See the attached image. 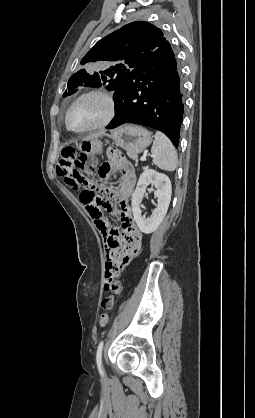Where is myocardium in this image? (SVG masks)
Wrapping results in <instances>:
<instances>
[{"label":"myocardium","instance_id":"myocardium-1","mask_svg":"<svg viewBox=\"0 0 255 418\" xmlns=\"http://www.w3.org/2000/svg\"><path fill=\"white\" fill-rule=\"evenodd\" d=\"M99 96L102 99H104L106 106H107V110H106V114L104 116V118L98 122L97 124L90 126L88 128L85 129H74L70 126L69 123V115L70 112L72 110V108L74 107V105L80 101L81 99L87 97V96ZM116 113V103L114 98L112 97V95L110 93H108L105 90H101V89H90L87 90L83 93H81L80 95H78L73 101L72 103L69 105V107L67 108L66 114H65V124L66 127L69 131H72L74 133H87V132H92V131H96L99 129H102L104 127H106L107 125H109L111 123V121L113 120L114 116Z\"/></svg>","mask_w":255,"mask_h":418}]
</instances>
